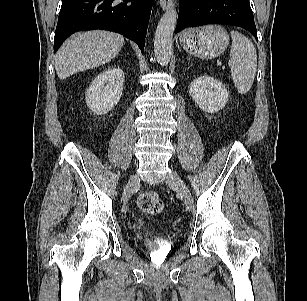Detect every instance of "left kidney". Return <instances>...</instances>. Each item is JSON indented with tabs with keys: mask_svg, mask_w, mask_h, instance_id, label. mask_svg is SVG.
I'll return each instance as SVG.
<instances>
[{
	"mask_svg": "<svg viewBox=\"0 0 307 301\" xmlns=\"http://www.w3.org/2000/svg\"><path fill=\"white\" fill-rule=\"evenodd\" d=\"M189 94L204 112L215 113L228 102L229 93L219 80L202 75L191 82Z\"/></svg>",
	"mask_w": 307,
	"mask_h": 301,
	"instance_id": "left-kidney-1",
	"label": "left kidney"
}]
</instances>
